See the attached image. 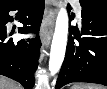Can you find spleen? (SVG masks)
<instances>
[{
    "label": "spleen",
    "instance_id": "1",
    "mask_svg": "<svg viewBox=\"0 0 107 89\" xmlns=\"http://www.w3.org/2000/svg\"><path fill=\"white\" fill-rule=\"evenodd\" d=\"M71 89H104L102 86L98 85H81V84H74Z\"/></svg>",
    "mask_w": 107,
    "mask_h": 89
}]
</instances>
